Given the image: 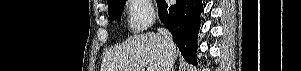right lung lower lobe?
Returning <instances> with one entry per match:
<instances>
[{
	"mask_svg": "<svg viewBox=\"0 0 301 71\" xmlns=\"http://www.w3.org/2000/svg\"><path fill=\"white\" fill-rule=\"evenodd\" d=\"M157 5L159 18L172 33L182 56L187 62L196 64L202 0H176L172 6L165 0H157Z\"/></svg>",
	"mask_w": 301,
	"mask_h": 71,
	"instance_id": "obj_1",
	"label": "right lung lower lobe"
}]
</instances>
